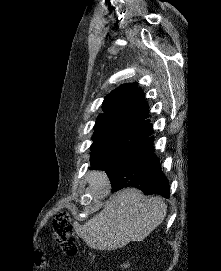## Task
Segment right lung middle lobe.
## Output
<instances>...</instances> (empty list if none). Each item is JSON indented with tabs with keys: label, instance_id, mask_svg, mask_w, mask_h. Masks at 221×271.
<instances>
[{
	"label": "right lung middle lobe",
	"instance_id": "obj_1",
	"mask_svg": "<svg viewBox=\"0 0 221 271\" xmlns=\"http://www.w3.org/2000/svg\"><path fill=\"white\" fill-rule=\"evenodd\" d=\"M148 131L105 129L92 136L89 169L106 170L132 154L145 140Z\"/></svg>",
	"mask_w": 221,
	"mask_h": 271
}]
</instances>
